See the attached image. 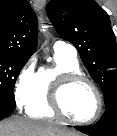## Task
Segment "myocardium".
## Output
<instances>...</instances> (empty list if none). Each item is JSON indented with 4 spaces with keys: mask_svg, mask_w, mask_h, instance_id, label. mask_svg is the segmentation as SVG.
<instances>
[{
    "mask_svg": "<svg viewBox=\"0 0 117 136\" xmlns=\"http://www.w3.org/2000/svg\"><path fill=\"white\" fill-rule=\"evenodd\" d=\"M85 83L89 85L94 91L97 99V110L96 113L89 119H77L72 117L66 110L65 107V94L67 91L76 84ZM49 103L52 111L58 116L65 120L75 124H92L97 121L103 111V96L98 86L87 76L78 72H67L60 74L50 90Z\"/></svg>",
    "mask_w": 117,
    "mask_h": 136,
    "instance_id": "f54148a6",
    "label": "myocardium"
}]
</instances>
